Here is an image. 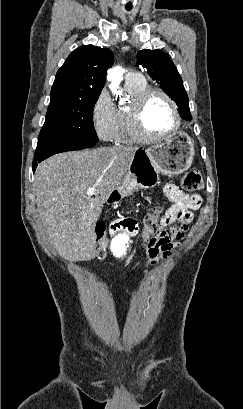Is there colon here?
Instances as JSON below:
<instances>
[{
  "instance_id": "1",
  "label": "colon",
  "mask_w": 243,
  "mask_h": 409,
  "mask_svg": "<svg viewBox=\"0 0 243 409\" xmlns=\"http://www.w3.org/2000/svg\"><path fill=\"white\" fill-rule=\"evenodd\" d=\"M182 187L189 192L202 190L204 188V178L201 171L198 169L188 171L182 179ZM160 214V209L156 208L144 217V229L141 235L142 244H145L149 238L160 237L166 234L167 230L159 224ZM104 231L105 229L102 224L96 225L95 233L100 241L98 248V256L100 258H104L107 254V242L104 240Z\"/></svg>"
}]
</instances>
